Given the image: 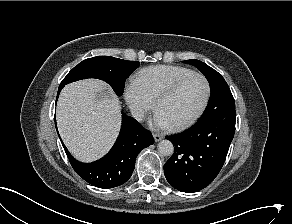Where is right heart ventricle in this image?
Returning <instances> with one entry per match:
<instances>
[{
  "label": "right heart ventricle",
  "mask_w": 292,
  "mask_h": 224,
  "mask_svg": "<svg viewBox=\"0 0 292 224\" xmlns=\"http://www.w3.org/2000/svg\"><path fill=\"white\" fill-rule=\"evenodd\" d=\"M191 73H194L192 69L182 66L155 65L140 70L134 80L155 101L164 89Z\"/></svg>",
  "instance_id": "right-heart-ventricle-1"
}]
</instances>
